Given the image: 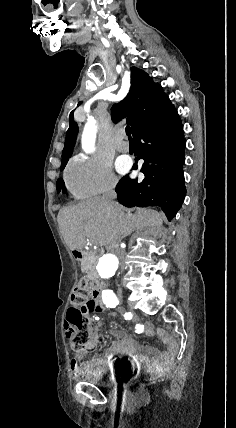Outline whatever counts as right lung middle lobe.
Masks as SVG:
<instances>
[{
  "label": "right lung middle lobe",
  "instance_id": "1",
  "mask_svg": "<svg viewBox=\"0 0 236 428\" xmlns=\"http://www.w3.org/2000/svg\"><path fill=\"white\" fill-rule=\"evenodd\" d=\"M61 170H63V169H61ZM56 186H57V192L58 193L61 190H62L63 193H65L66 189H65L64 181L62 179H58Z\"/></svg>",
  "mask_w": 236,
  "mask_h": 428
}]
</instances>
